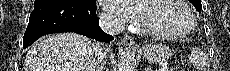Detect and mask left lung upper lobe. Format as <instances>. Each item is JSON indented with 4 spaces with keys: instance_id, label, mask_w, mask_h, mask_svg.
<instances>
[{
    "instance_id": "5c2ea615",
    "label": "left lung upper lobe",
    "mask_w": 230,
    "mask_h": 71,
    "mask_svg": "<svg viewBox=\"0 0 230 71\" xmlns=\"http://www.w3.org/2000/svg\"><path fill=\"white\" fill-rule=\"evenodd\" d=\"M196 8L197 11L202 9L201 0H189Z\"/></svg>"
}]
</instances>
